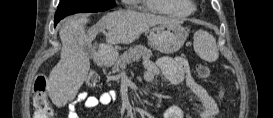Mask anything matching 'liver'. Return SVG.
I'll return each instance as SVG.
<instances>
[{
    "label": "liver",
    "instance_id": "1",
    "mask_svg": "<svg viewBox=\"0 0 273 118\" xmlns=\"http://www.w3.org/2000/svg\"><path fill=\"white\" fill-rule=\"evenodd\" d=\"M89 19L86 17L67 19L60 28L62 42L60 61L52 69L46 90L53 104L63 107L74 100L78 90L87 78L90 69L89 57L84 50L97 34L108 30L106 44L110 48L115 44H131L142 33L157 24H180L181 21L134 10H118L103 16L95 25L85 30Z\"/></svg>",
    "mask_w": 273,
    "mask_h": 118
}]
</instances>
